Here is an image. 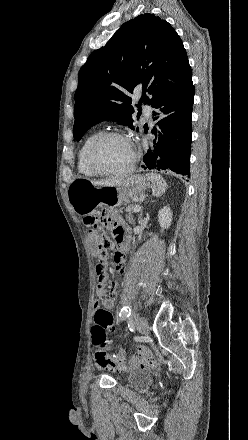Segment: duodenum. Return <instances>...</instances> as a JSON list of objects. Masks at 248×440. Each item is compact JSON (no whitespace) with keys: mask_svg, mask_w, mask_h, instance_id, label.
Here are the masks:
<instances>
[{"mask_svg":"<svg viewBox=\"0 0 248 440\" xmlns=\"http://www.w3.org/2000/svg\"><path fill=\"white\" fill-rule=\"evenodd\" d=\"M120 251L121 253H125L127 251V247L124 245L120 246Z\"/></svg>","mask_w":248,"mask_h":440,"instance_id":"obj_1","label":"duodenum"}]
</instances>
